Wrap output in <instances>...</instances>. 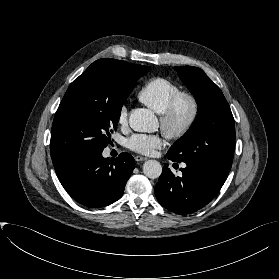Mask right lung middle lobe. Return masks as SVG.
<instances>
[{
	"mask_svg": "<svg viewBox=\"0 0 279 279\" xmlns=\"http://www.w3.org/2000/svg\"><path fill=\"white\" fill-rule=\"evenodd\" d=\"M148 70L149 67L145 66L142 75ZM139 77L123 79L108 64H100L90 65L71 83L53 121V164L103 151L110 133L116 130L122 106Z\"/></svg>",
	"mask_w": 279,
	"mask_h": 279,
	"instance_id": "right-lung-middle-lobe-1",
	"label": "right lung middle lobe"
}]
</instances>
